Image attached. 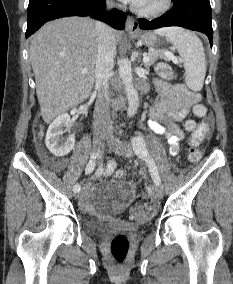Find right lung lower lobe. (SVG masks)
<instances>
[{
  "label": "right lung lower lobe",
  "mask_w": 233,
  "mask_h": 284,
  "mask_svg": "<svg viewBox=\"0 0 233 284\" xmlns=\"http://www.w3.org/2000/svg\"><path fill=\"white\" fill-rule=\"evenodd\" d=\"M105 0H30L27 9L26 37L45 22L67 16H91L116 29L125 28L126 14L114 9L104 14Z\"/></svg>",
  "instance_id": "right-lung-lower-lobe-1"
}]
</instances>
